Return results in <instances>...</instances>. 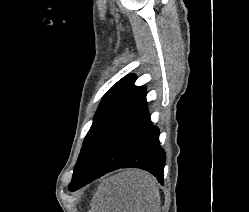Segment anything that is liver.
Returning <instances> with one entry per match:
<instances>
[{"instance_id": "1", "label": "liver", "mask_w": 249, "mask_h": 212, "mask_svg": "<svg viewBox=\"0 0 249 212\" xmlns=\"http://www.w3.org/2000/svg\"><path fill=\"white\" fill-rule=\"evenodd\" d=\"M155 178L143 170H122L103 180L92 200L91 212H159Z\"/></svg>"}]
</instances>
